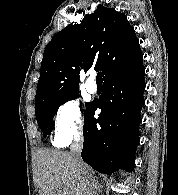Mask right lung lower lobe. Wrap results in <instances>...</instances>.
Segmentation results:
<instances>
[{
	"mask_svg": "<svg viewBox=\"0 0 178 195\" xmlns=\"http://www.w3.org/2000/svg\"><path fill=\"white\" fill-rule=\"evenodd\" d=\"M143 60L130 70L104 79L99 101L92 102L84 116L82 159L101 173L131 172L139 142L140 111L145 103ZM102 111L98 119L95 110Z\"/></svg>",
	"mask_w": 178,
	"mask_h": 195,
	"instance_id": "98d812e1",
	"label": "right lung lower lobe"
}]
</instances>
